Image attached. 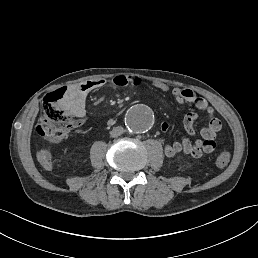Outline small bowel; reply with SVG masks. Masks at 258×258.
<instances>
[{
    "label": "small bowel",
    "mask_w": 258,
    "mask_h": 258,
    "mask_svg": "<svg viewBox=\"0 0 258 258\" xmlns=\"http://www.w3.org/2000/svg\"><path fill=\"white\" fill-rule=\"evenodd\" d=\"M141 79L135 76L118 75L112 79V84L117 87L139 86ZM107 81L103 78L84 81L80 84L72 85L68 88V93L62 101V107L78 118L86 115L85 105L88 95L103 86ZM154 86L162 91H168L169 87L164 83H154ZM171 93L175 100L180 104H193L198 110L205 111L208 117V124L201 130V139L191 141L183 137L181 140L167 144L164 146V154L166 157L172 158L180 153L191 156L192 158H200L203 154L212 153L216 147V138L221 130V122L215 117L214 110L208 105V102L198 97L190 89L173 88ZM198 115L194 112L188 113L184 118V127L186 132L195 135V123ZM163 131L168 129V124H161ZM37 159L45 170L53 168L52 152L48 148L40 149L37 152Z\"/></svg>",
    "instance_id": "c3829d8e"
}]
</instances>
